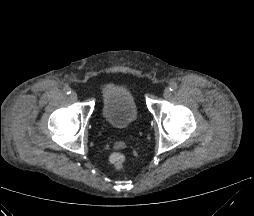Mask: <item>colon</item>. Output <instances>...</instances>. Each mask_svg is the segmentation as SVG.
Wrapping results in <instances>:
<instances>
[{
  "instance_id": "5ec220e1",
  "label": "colon",
  "mask_w": 254,
  "mask_h": 216,
  "mask_svg": "<svg viewBox=\"0 0 254 216\" xmlns=\"http://www.w3.org/2000/svg\"><path fill=\"white\" fill-rule=\"evenodd\" d=\"M109 161L115 169L119 170L125 162V156L121 151L116 150L110 155Z\"/></svg>"
}]
</instances>
